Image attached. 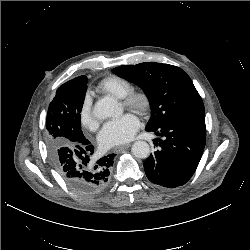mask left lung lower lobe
Masks as SVG:
<instances>
[{"instance_id": "left-lung-lower-lobe-1", "label": "left lung lower lobe", "mask_w": 250, "mask_h": 250, "mask_svg": "<svg viewBox=\"0 0 250 250\" xmlns=\"http://www.w3.org/2000/svg\"><path fill=\"white\" fill-rule=\"evenodd\" d=\"M157 136L159 150L144 161L147 178L154 184L175 188L194 174L206 142L205 118L170 123L157 129H146Z\"/></svg>"}]
</instances>
